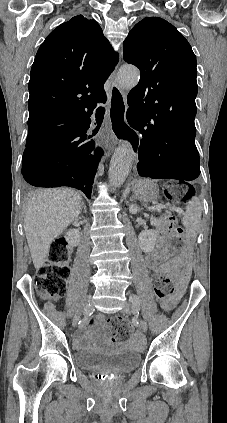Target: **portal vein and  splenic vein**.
Returning <instances> with one entry per match:
<instances>
[{
    "instance_id": "18ae733b",
    "label": "portal vein and splenic vein",
    "mask_w": 227,
    "mask_h": 423,
    "mask_svg": "<svg viewBox=\"0 0 227 423\" xmlns=\"http://www.w3.org/2000/svg\"><path fill=\"white\" fill-rule=\"evenodd\" d=\"M161 209H166V206H162V202H159L158 206H153V208H148V210H160ZM167 209H171V212H178L179 214L183 213L182 209H178L177 205L174 206H167Z\"/></svg>"
}]
</instances>
